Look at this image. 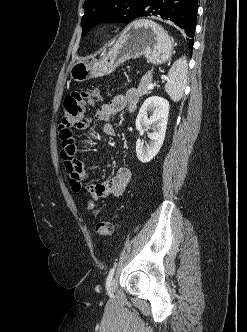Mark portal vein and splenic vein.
Instances as JSON below:
<instances>
[{"label": "portal vein and splenic vein", "mask_w": 247, "mask_h": 332, "mask_svg": "<svg viewBox=\"0 0 247 332\" xmlns=\"http://www.w3.org/2000/svg\"><path fill=\"white\" fill-rule=\"evenodd\" d=\"M153 88H154V84L153 83H149L148 90H152Z\"/></svg>", "instance_id": "obj_1"}]
</instances>
